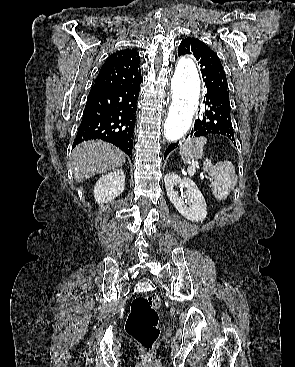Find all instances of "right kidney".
Here are the masks:
<instances>
[{
	"mask_svg": "<svg viewBox=\"0 0 295 367\" xmlns=\"http://www.w3.org/2000/svg\"><path fill=\"white\" fill-rule=\"evenodd\" d=\"M125 188V174L122 169L102 176L94 187V198L100 204L118 197Z\"/></svg>",
	"mask_w": 295,
	"mask_h": 367,
	"instance_id": "ca27d5eb",
	"label": "right kidney"
}]
</instances>
